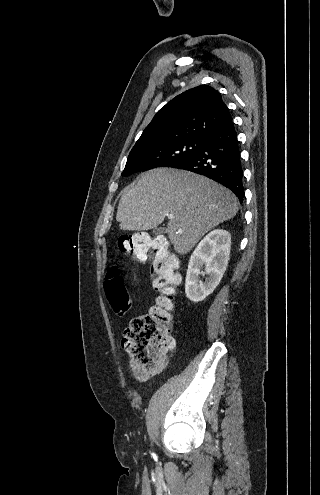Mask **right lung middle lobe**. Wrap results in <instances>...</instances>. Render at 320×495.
<instances>
[{
	"mask_svg": "<svg viewBox=\"0 0 320 495\" xmlns=\"http://www.w3.org/2000/svg\"><path fill=\"white\" fill-rule=\"evenodd\" d=\"M204 138H185L150 146L133 147L122 176L156 167H172L198 152Z\"/></svg>",
	"mask_w": 320,
	"mask_h": 495,
	"instance_id": "obj_1",
	"label": "right lung middle lobe"
}]
</instances>
